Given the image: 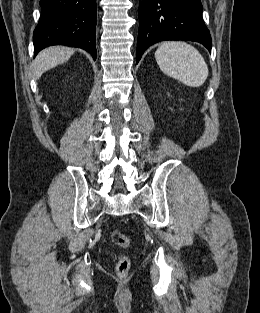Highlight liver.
<instances>
[{
  "label": "liver",
  "mask_w": 260,
  "mask_h": 313,
  "mask_svg": "<svg viewBox=\"0 0 260 313\" xmlns=\"http://www.w3.org/2000/svg\"><path fill=\"white\" fill-rule=\"evenodd\" d=\"M74 53L69 47L53 46L42 50L32 63V75L34 79H38L41 75L66 62Z\"/></svg>",
  "instance_id": "6515ba94"
}]
</instances>
